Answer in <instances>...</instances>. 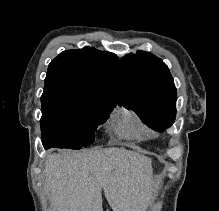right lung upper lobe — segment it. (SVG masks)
I'll list each match as a JSON object with an SVG mask.
<instances>
[{
    "label": "right lung upper lobe",
    "mask_w": 219,
    "mask_h": 211,
    "mask_svg": "<svg viewBox=\"0 0 219 211\" xmlns=\"http://www.w3.org/2000/svg\"><path fill=\"white\" fill-rule=\"evenodd\" d=\"M120 104L119 59L92 47L61 52L51 61L42 97Z\"/></svg>",
    "instance_id": "cb5924a9"
}]
</instances>
